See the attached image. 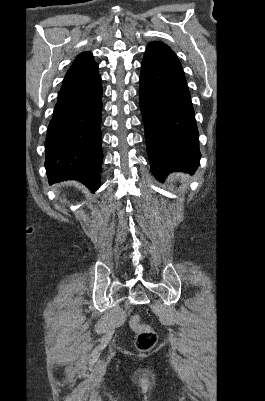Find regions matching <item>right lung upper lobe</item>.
<instances>
[{
  "mask_svg": "<svg viewBox=\"0 0 265 401\" xmlns=\"http://www.w3.org/2000/svg\"><path fill=\"white\" fill-rule=\"evenodd\" d=\"M100 80L98 65L93 60L92 54L90 52H83L77 56L67 71L59 95L90 88Z\"/></svg>",
  "mask_w": 265,
  "mask_h": 401,
  "instance_id": "obj_1",
  "label": "right lung upper lobe"
}]
</instances>
